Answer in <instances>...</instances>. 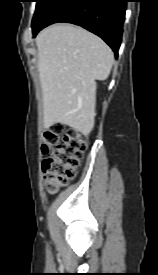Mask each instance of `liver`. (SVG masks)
<instances>
[{
    "label": "liver",
    "mask_w": 158,
    "mask_h": 275,
    "mask_svg": "<svg viewBox=\"0 0 158 275\" xmlns=\"http://www.w3.org/2000/svg\"><path fill=\"white\" fill-rule=\"evenodd\" d=\"M44 128L55 123L88 135L94 126L96 80H105L114 54L99 37L68 24L52 25L36 37Z\"/></svg>",
    "instance_id": "obj_1"
}]
</instances>
